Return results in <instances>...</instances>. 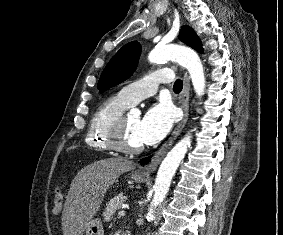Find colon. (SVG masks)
I'll return each mask as SVG.
<instances>
[{
    "label": "colon",
    "instance_id": "5ec220e1",
    "mask_svg": "<svg viewBox=\"0 0 283 235\" xmlns=\"http://www.w3.org/2000/svg\"><path fill=\"white\" fill-rule=\"evenodd\" d=\"M63 203V194L60 190H57L53 198V211L59 212Z\"/></svg>",
    "mask_w": 283,
    "mask_h": 235
}]
</instances>
